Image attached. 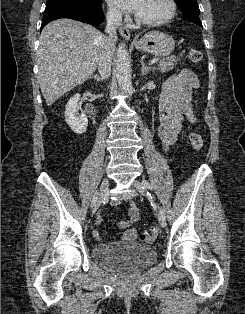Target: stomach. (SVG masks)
<instances>
[{
  "label": "stomach",
  "mask_w": 245,
  "mask_h": 314,
  "mask_svg": "<svg viewBox=\"0 0 245 314\" xmlns=\"http://www.w3.org/2000/svg\"><path fill=\"white\" fill-rule=\"evenodd\" d=\"M134 45L138 51L166 57L173 52L175 41L170 35L164 32L150 31Z\"/></svg>",
  "instance_id": "1"
}]
</instances>
